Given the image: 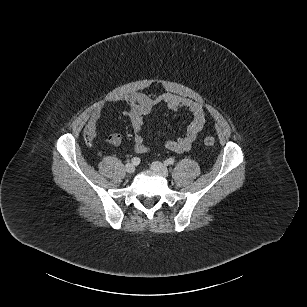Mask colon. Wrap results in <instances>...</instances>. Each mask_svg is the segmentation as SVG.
<instances>
[{"mask_svg":"<svg viewBox=\"0 0 307 307\" xmlns=\"http://www.w3.org/2000/svg\"><path fill=\"white\" fill-rule=\"evenodd\" d=\"M92 137H93L92 133L87 129L85 132L86 140L91 141ZM120 140L121 136L119 134H113L108 138V141L113 145H117L120 142ZM203 142L207 146H212L215 143V138L213 136H206L204 137Z\"/></svg>","mask_w":307,"mask_h":307,"instance_id":"obj_1","label":"colon"}]
</instances>
